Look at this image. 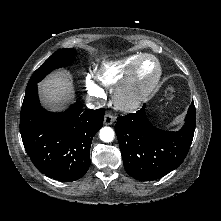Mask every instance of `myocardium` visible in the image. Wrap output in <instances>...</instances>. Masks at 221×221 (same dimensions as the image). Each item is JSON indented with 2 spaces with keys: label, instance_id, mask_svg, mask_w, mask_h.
<instances>
[{
  "label": "myocardium",
  "instance_id": "myocardium-1",
  "mask_svg": "<svg viewBox=\"0 0 221 221\" xmlns=\"http://www.w3.org/2000/svg\"><path fill=\"white\" fill-rule=\"evenodd\" d=\"M146 59L155 62L156 74L150 82L141 85L137 79V72L141 63ZM161 75L162 67L159 60L151 54H142L131 66L116 90L115 103L117 107L127 111L137 109L157 87Z\"/></svg>",
  "mask_w": 221,
  "mask_h": 221
}]
</instances>
